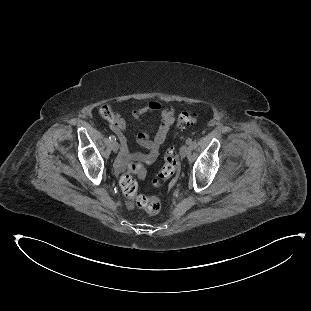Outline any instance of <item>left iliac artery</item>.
I'll return each instance as SVG.
<instances>
[{"label":"left iliac artery","mask_w":311,"mask_h":311,"mask_svg":"<svg viewBox=\"0 0 311 311\" xmlns=\"http://www.w3.org/2000/svg\"><path fill=\"white\" fill-rule=\"evenodd\" d=\"M192 143V139L191 138H188L187 140H186V144H191Z\"/></svg>","instance_id":"obj_1"}]
</instances>
